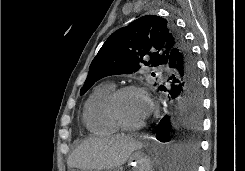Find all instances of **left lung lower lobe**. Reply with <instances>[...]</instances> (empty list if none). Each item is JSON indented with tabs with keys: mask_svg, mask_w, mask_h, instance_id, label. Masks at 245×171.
I'll return each mask as SVG.
<instances>
[{
	"mask_svg": "<svg viewBox=\"0 0 245 171\" xmlns=\"http://www.w3.org/2000/svg\"><path fill=\"white\" fill-rule=\"evenodd\" d=\"M167 66L172 69L173 74L167 80V87L161 85L159 89L168 92L169 99L173 100L174 111H170L156 126V138L161 142L174 144L178 156L174 157V162H178V167H194L198 139L194 136H174L179 125L197 129L201 119L200 76L187 42L170 55Z\"/></svg>",
	"mask_w": 245,
	"mask_h": 171,
	"instance_id": "left-lung-lower-lobe-1",
	"label": "left lung lower lobe"
}]
</instances>
